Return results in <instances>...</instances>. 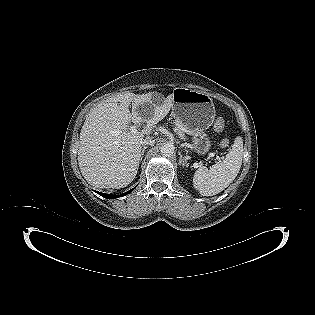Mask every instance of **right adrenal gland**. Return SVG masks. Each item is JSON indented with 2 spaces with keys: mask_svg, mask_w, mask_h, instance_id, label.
I'll use <instances>...</instances> for the list:
<instances>
[{
  "mask_svg": "<svg viewBox=\"0 0 315 315\" xmlns=\"http://www.w3.org/2000/svg\"><path fill=\"white\" fill-rule=\"evenodd\" d=\"M146 148H147V146H144V147L142 148V151H141V160L143 159V155H144V152H145Z\"/></svg>",
  "mask_w": 315,
  "mask_h": 315,
  "instance_id": "right-adrenal-gland-1",
  "label": "right adrenal gland"
}]
</instances>
